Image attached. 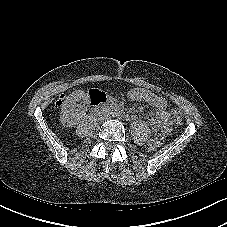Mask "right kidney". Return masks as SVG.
Masks as SVG:
<instances>
[{"label": "right kidney", "instance_id": "right-kidney-1", "mask_svg": "<svg viewBox=\"0 0 227 227\" xmlns=\"http://www.w3.org/2000/svg\"><path fill=\"white\" fill-rule=\"evenodd\" d=\"M80 100L79 94H73L65 101L61 111V121L64 125L74 126L79 120V110L77 109Z\"/></svg>", "mask_w": 227, "mask_h": 227}]
</instances>
